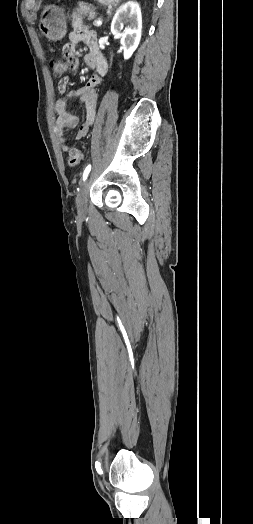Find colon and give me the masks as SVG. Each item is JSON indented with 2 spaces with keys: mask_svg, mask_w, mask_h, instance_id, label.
<instances>
[{
  "mask_svg": "<svg viewBox=\"0 0 253 524\" xmlns=\"http://www.w3.org/2000/svg\"><path fill=\"white\" fill-rule=\"evenodd\" d=\"M65 57V56H64ZM52 75L56 79L62 78L66 73V63L63 59L53 58L50 61ZM83 160V153L78 148H72L68 153V165L71 167L78 166Z\"/></svg>",
  "mask_w": 253,
  "mask_h": 524,
  "instance_id": "5ec220e1",
  "label": "colon"
}]
</instances>
